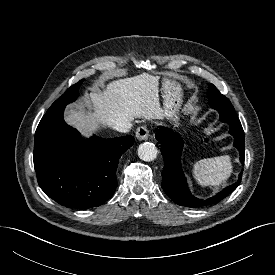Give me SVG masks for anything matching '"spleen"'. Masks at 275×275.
<instances>
[{
    "label": "spleen",
    "mask_w": 275,
    "mask_h": 275,
    "mask_svg": "<svg viewBox=\"0 0 275 275\" xmlns=\"http://www.w3.org/2000/svg\"><path fill=\"white\" fill-rule=\"evenodd\" d=\"M232 173L231 158L228 155L203 159L193 164L192 174L196 182L205 187H217Z\"/></svg>",
    "instance_id": "3e777b00"
}]
</instances>
